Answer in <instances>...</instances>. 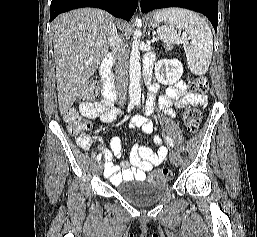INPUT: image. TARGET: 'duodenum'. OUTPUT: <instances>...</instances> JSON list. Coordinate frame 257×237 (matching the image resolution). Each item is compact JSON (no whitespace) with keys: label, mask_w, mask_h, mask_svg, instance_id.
<instances>
[{"label":"duodenum","mask_w":257,"mask_h":237,"mask_svg":"<svg viewBox=\"0 0 257 237\" xmlns=\"http://www.w3.org/2000/svg\"><path fill=\"white\" fill-rule=\"evenodd\" d=\"M115 57L113 54H108L100 65V76L102 80L103 95L109 101H115L117 99V92L115 88L114 77L112 75V65L114 64ZM145 77L150 79V74L146 71Z\"/></svg>","instance_id":"duodenum-1"}]
</instances>
